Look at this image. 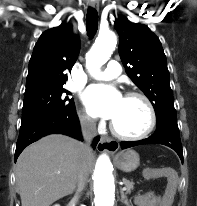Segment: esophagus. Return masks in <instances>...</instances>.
Segmentation results:
<instances>
[{"instance_id":"1","label":"esophagus","mask_w":197,"mask_h":206,"mask_svg":"<svg viewBox=\"0 0 197 206\" xmlns=\"http://www.w3.org/2000/svg\"><path fill=\"white\" fill-rule=\"evenodd\" d=\"M89 5L95 10L99 9V3L97 1H92ZM100 151H105L108 153H115L119 149V143L109 137L102 136L100 142L97 146Z\"/></svg>"}]
</instances>
